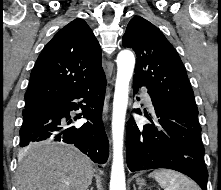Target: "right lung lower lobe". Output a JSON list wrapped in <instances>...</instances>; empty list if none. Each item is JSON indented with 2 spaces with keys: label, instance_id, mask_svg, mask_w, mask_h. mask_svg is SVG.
Masks as SVG:
<instances>
[{
  "label": "right lung lower lobe",
  "instance_id": "1",
  "mask_svg": "<svg viewBox=\"0 0 221 190\" xmlns=\"http://www.w3.org/2000/svg\"><path fill=\"white\" fill-rule=\"evenodd\" d=\"M106 77L100 76L90 84L69 92L23 116L19 131L20 146L46 139L72 144L94 162L104 164L108 159L109 142L102 122ZM81 99V103L74 100ZM84 103V104H82ZM82 110L87 121L82 126H70L72 110Z\"/></svg>",
  "mask_w": 221,
  "mask_h": 190
}]
</instances>
